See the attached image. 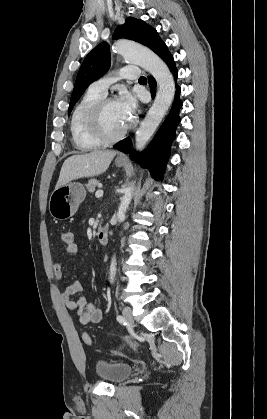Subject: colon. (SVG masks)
Wrapping results in <instances>:
<instances>
[{"label":"colon","instance_id":"1","mask_svg":"<svg viewBox=\"0 0 267 419\" xmlns=\"http://www.w3.org/2000/svg\"><path fill=\"white\" fill-rule=\"evenodd\" d=\"M62 241L65 244V246L68 247V248L73 247L76 244L75 239H74V235L70 231H66V232L63 233ZM83 340L88 345L92 343V339H91V337L88 333L83 334Z\"/></svg>","mask_w":267,"mask_h":419}]
</instances>
